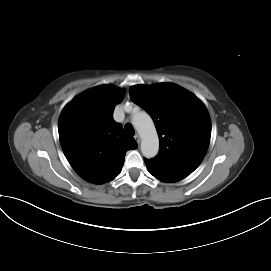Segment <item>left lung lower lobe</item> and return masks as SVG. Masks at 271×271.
<instances>
[{
	"instance_id": "left-lung-lower-lobe-1",
	"label": "left lung lower lobe",
	"mask_w": 271,
	"mask_h": 271,
	"mask_svg": "<svg viewBox=\"0 0 271 271\" xmlns=\"http://www.w3.org/2000/svg\"><path fill=\"white\" fill-rule=\"evenodd\" d=\"M147 169L157 179L164 182H176L187 177L192 171L158 162L153 159H144Z\"/></svg>"
}]
</instances>
